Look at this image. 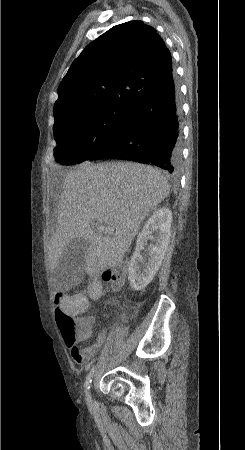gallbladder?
I'll return each mask as SVG.
<instances>
[{
  "label": "gallbladder",
  "mask_w": 245,
  "mask_h": 450,
  "mask_svg": "<svg viewBox=\"0 0 245 450\" xmlns=\"http://www.w3.org/2000/svg\"><path fill=\"white\" fill-rule=\"evenodd\" d=\"M90 242L83 239H73L61 256L55 269V275L66 287L80 282L85 275V255Z\"/></svg>",
  "instance_id": "bac80fb5"
}]
</instances>
